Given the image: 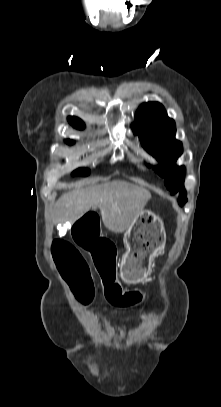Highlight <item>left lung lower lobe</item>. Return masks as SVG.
I'll list each match as a JSON object with an SVG mask.
<instances>
[{"label":"left lung lower lobe","instance_id":"1","mask_svg":"<svg viewBox=\"0 0 221 407\" xmlns=\"http://www.w3.org/2000/svg\"><path fill=\"white\" fill-rule=\"evenodd\" d=\"M185 201H187V200H181V201H180V204L182 205Z\"/></svg>","mask_w":221,"mask_h":407}]
</instances>
